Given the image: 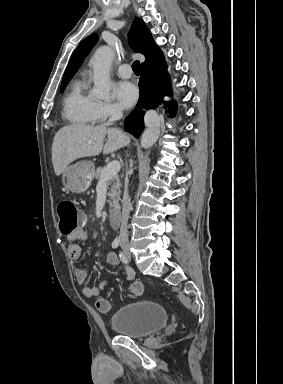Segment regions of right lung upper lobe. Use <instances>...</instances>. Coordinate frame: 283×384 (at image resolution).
Returning a JSON list of instances; mask_svg holds the SVG:
<instances>
[{
    "label": "right lung upper lobe",
    "mask_w": 283,
    "mask_h": 384,
    "mask_svg": "<svg viewBox=\"0 0 283 384\" xmlns=\"http://www.w3.org/2000/svg\"><path fill=\"white\" fill-rule=\"evenodd\" d=\"M98 40L97 34H92L84 39L74 51L63 76L62 83L69 82L77 72L86 55ZM129 40L131 48L145 56L146 60L141 64L142 70H152L165 65L163 54L154 42L150 30L145 23L136 18L132 24Z\"/></svg>",
    "instance_id": "right-lung-upper-lobe-1"
}]
</instances>
